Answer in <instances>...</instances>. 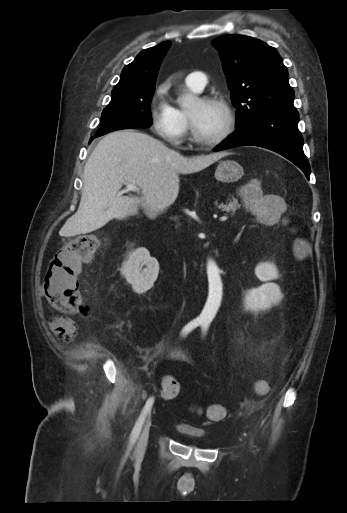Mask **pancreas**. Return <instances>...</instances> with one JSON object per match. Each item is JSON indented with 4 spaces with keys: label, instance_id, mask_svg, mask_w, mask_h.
Instances as JSON below:
<instances>
[{
    "label": "pancreas",
    "instance_id": "obj_1",
    "mask_svg": "<svg viewBox=\"0 0 347 513\" xmlns=\"http://www.w3.org/2000/svg\"><path fill=\"white\" fill-rule=\"evenodd\" d=\"M229 202L227 203H221L217 205V208L221 211L226 212L230 216H234L236 214V211L240 208V204L238 203V200L232 196V198L228 199Z\"/></svg>",
    "mask_w": 347,
    "mask_h": 513
}]
</instances>
